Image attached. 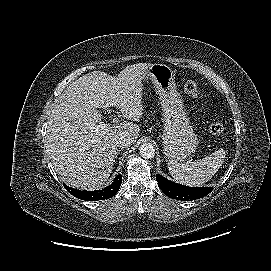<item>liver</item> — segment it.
Returning a JSON list of instances; mask_svg holds the SVG:
<instances>
[{
    "mask_svg": "<svg viewBox=\"0 0 271 271\" xmlns=\"http://www.w3.org/2000/svg\"><path fill=\"white\" fill-rule=\"evenodd\" d=\"M152 65L127 66L116 78L90 72L56 98L48 120L47 148L55 171L69 185L88 190L102 187L117 156L115 137L127 134L136 142L140 128L133 122L96 132L94 127L102 119L97 109L116 107L126 119L139 121L144 108L142 82Z\"/></svg>",
    "mask_w": 271,
    "mask_h": 271,
    "instance_id": "6515ba94",
    "label": "liver"
}]
</instances>
